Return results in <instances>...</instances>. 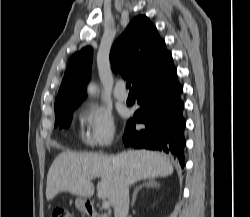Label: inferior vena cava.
Wrapping results in <instances>:
<instances>
[{"mask_svg": "<svg viewBox=\"0 0 250 217\" xmlns=\"http://www.w3.org/2000/svg\"><path fill=\"white\" fill-rule=\"evenodd\" d=\"M129 211V184L125 178H121L116 191L114 204V217H127Z\"/></svg>", "mask_w": 250, "mask_h": 217, "instance_id": "1", "label": "inferior vena cava"}]
</instances>
